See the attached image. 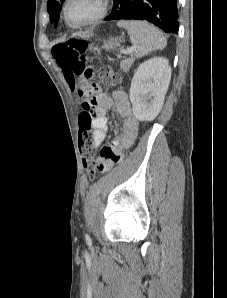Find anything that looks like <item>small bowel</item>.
I'll return each instance as SVG.
<instances>
[{
	"mask_svg": "<svg viewBox=\"0 0 227 298\" xmlns=\"http://www.w3.org/2000/svg\"><path fill=\"white\" fill-rule=\"evenodd\" d=\"M102 68H109V63H102ZM92 77H97V72H92ZM98 82H91L90 88V114L95 115L91 128L93 130V149L99 147L105 140L109 130L107 113L114 109L121 119V132L107 146L103 147L100 155L94 158L95 167L101 171H107L116 167V162H122V153L129 149L135 142L139 123L134 117L128 95L124 91L107 93L97 91Z\"/></svg>",
	"mask_w": 227,
	"mask_h": 298,
	"instance_id": "small-bowel-1",
	"label": "small bowel"
}]
</instances>
